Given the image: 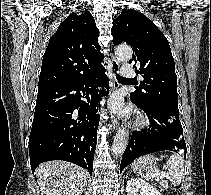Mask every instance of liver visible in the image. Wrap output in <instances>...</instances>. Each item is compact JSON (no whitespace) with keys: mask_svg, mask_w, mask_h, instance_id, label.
<instances>
[{"mask_svg":"<svg viewBox=\"0 0 211 195\" xmlns=\"http://www.w3.org/2000/svg\"><path fill=\"white\" fill-rule=\"evenodd\" d=\"M35 174L41 195H82L88 179L83 168L57 160L41 163Z\"/></svg>","mask_w":211,"mask_h":195,"instance_id":"obj_1","label":"liver"}]
</instances>
